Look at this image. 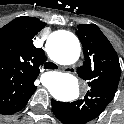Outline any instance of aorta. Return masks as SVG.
Wrapping results in <instances>:
<instances>
[{
	"label": "aorta",
	"instance_id": "aorta-1",
	"mask_svg": "<svg viewBox=\"0 0 124 124\" xmlns=\"http://www.w3.org/2000/svg\"><path fill=\"white\" fill-rule=\"evenodd\" d=\"M78 38L69 31H60L48 44V54L56 62L69 65L80 56ZM44 86L59 101L69 102L79 97L77 79L68 73L49 72L43 79Z\"/></svg>",
	"mask_w": 124,
	"mask_h": 124
}]
</instances>
